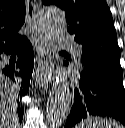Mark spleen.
<instances>
[{
    "label": "spleen",
    "mask_w": 125,
    "mask_h": 128,
    "mask_svg": "<svg viewBox=\"0 0 125 128\" xmlns=\"http://www.w3.org/2000/svg\"><path fill=\"white\" fill-rule=\"evenodd\" d=\"M76 128H124L119 122L101 117H88L82 120Z\"/></svg>",
    "instance_id": "3e777b00"
}]
</instances>
